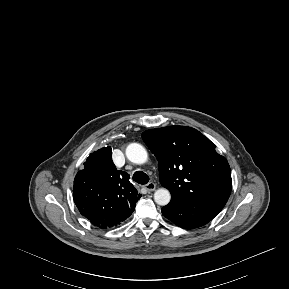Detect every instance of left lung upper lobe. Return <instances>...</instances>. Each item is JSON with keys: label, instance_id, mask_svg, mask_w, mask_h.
I'll list each match as a JSON object with an SVG mask.
<instances>
[{"label": "left lung upper lobe", "instance_id": "5c2ea615", "mask_svg": "<svg viewBox=\"0 0 289 289\" xmlns=\"http://www.w3.org/2000/svg\"><path fill=\"white\" fill-rule=\"evenodd\" d=\"M142 138L159 162V179L175 200H189L220 212L231 190V170L215 144L194 128L147 130Z\"/></svg>", "mask_w": 289, "mask_h": 289}]
</instances>
